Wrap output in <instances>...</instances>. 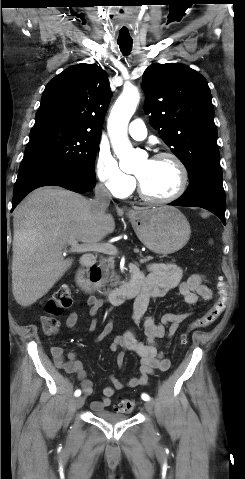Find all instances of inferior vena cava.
I'll list each match as a JSON object with an SVG mask.
<instances>
[{
	"instance_id": "1",
	"label": "inferior vena cava",
	"mask_w": 245,
	"mask_h": 479,
	"mask_svg": "<svg viewBox=\"0 0 245 479\" xmlns=\"http://www.w3.org/2000/svg\"><path fill=\"white\" fill-rule=\"evenodd\" d=\"M111 198L112 196L106 187L103 184H98L95 187V198L92 200V204L98 211L104 213L110 204Z\"/></svg>"
}]
</instances>
